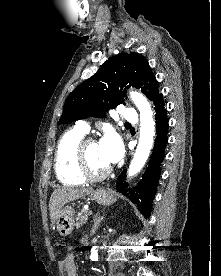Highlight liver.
<instances>
[{"label": "liver", "mask_w": 221, "mask_h": 276, "mask_svg": "<svg viewBox=\"0 0 221 276\" xmlns=\"http://www.w3.org/2000/svg\"><path fill=\"white\" fill-rule=\"evenodd\" d=\"M93 192L92 188H72L62 187L55 189L50 197L49 211L52 224H54L59 217L63 206L76 199H80Z\"/></svg>", "instance_id": "1"}]
</instances>
